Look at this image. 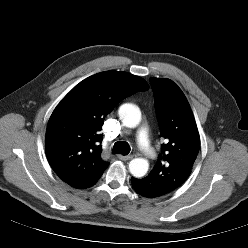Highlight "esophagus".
<instances>
[{"label": "esophagus", "mask_w": 248, "mask_h": 248, "mask_svg": "<svg viewBox=\"0 0 248 248\" xmlns=\"http://www.w3.org/2000/svg\"><path fill=\"white\" fill-rule=\"evenodd\" d=\"M118 158L123 161L131 160L133 158L132 155L124 156V155H118Z\"/></svg>", "instance_id": "1"}]
</instances>
